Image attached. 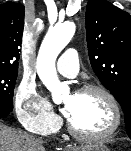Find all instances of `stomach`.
I'll return each mask as SVG.
<instances>
[{
	"label": "stomach",
	"mask_w": 131,
	"mask_h": 151,
	"mask_svg": "<svg viewBox=\"0 0 131 151\" xmlns=\"http://www.w3.org/2000/svg\"><path fill=\"white\" fill-rule=\"evenodd\" d=\"M71 151H110L104 144L102 143H90L83 145L79 148H71Z\"/></svg>",
	"instance_id": "stomach-1"
}]
</instances>
